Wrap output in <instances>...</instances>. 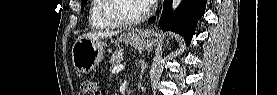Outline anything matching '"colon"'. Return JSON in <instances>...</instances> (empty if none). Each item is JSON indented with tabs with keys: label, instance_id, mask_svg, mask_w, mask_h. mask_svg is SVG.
I'll list each match as a JSON object with an SVG mask.
<instances>
[{
	"label": "colon",
	"instance_id": "colon-1",
	"mask_svg": "<svg viewBox=\"0 0 277 95\" xmlns=\"http://www.w3.org/2000/svg\"><path fill=\"white\" fill-rule=\"evenodd\" d=\"M98 85L90 80H84L80 86V95H98Z\"/></svg>",
	"mask_w": 277,
	"mask_h": 95
}]
</instances>
